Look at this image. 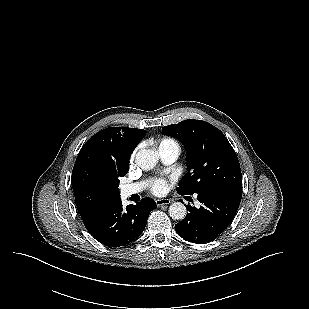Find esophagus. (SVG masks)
Returning a JSON list of instances; mask_svg holds the SVG:
<instances>
[{
    "label": "esophagus",
    "mask_w": 309,
    "mask_h": 309,
    "mask_svg": "<svg viewBox=\"0 0 309 309\" xmlns=\"http://www.w3.org/2000/svg\"><path fill=\"white\" fill-rule=\"evenodd\" d=\"M155 202H156L157 207H161L163 205L170 204L171 200L167 198H163V199H157Z\"/></svg>",
    "instance_id": "obj_1"
}]
</instances>
